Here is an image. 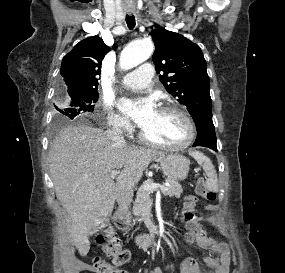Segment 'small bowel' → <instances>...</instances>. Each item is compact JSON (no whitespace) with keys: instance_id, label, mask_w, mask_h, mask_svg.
<instances>
[{"instance_id":"small-bowel-1","label":"small bowel","mask_w":285,"mask_h":273,"mask_svg":"<svg viewBox=\"0 0 285 273\" xmlns=\"http://www.w3.org/2000/svg\"><path fill=\"white\" fill-rule=\"evenodd\" d=\"M185 201H194L195 205L198 202L194 196H187L184 203ZM212 208L209 207V209ZM195 242L201 249L210 251V255L204 259V262L212 267L215 273H229L230 251L226 243L217 241L209 236L205 230L197 233ZM144 273H162V270L159 267H147ZM180 273H203V271L197 259L187 257L181 263Z\"/></svg>"}]
</instances>
